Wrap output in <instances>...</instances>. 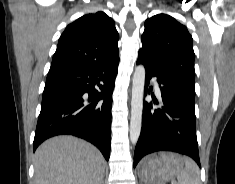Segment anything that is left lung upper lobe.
Instances as JSON below:
<instances>
[{
  "label": "left lung upper lobe",
  "mask_w": 235,
  "mask_h": 184,
  "mask_svg": "<svg viewBox=\"0 0 235 184\" xmlns=\"http://www.w3.org/2000/svg\"><path fill=\"white\" fill-rule=\"evenodd\" d=\"M139 57L195 97L193 39L187 28L169 15L157 14L145 21Z\"/></svg>",
  "instance_id": "5c2ea615"
}]
</instances>
